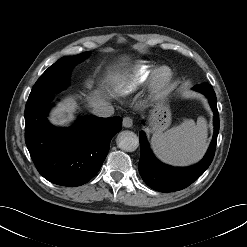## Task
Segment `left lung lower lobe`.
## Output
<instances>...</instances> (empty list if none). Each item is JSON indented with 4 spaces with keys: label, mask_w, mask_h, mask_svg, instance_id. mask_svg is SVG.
Wrapping results in <instances>:
<instances>
[{
    "label": "left lung lower lobe",
    "mask_w": 247,
    "mask_h": 247,
    "mask_svg": "<svg viewBox=\"0 0 247 247\" xmlns=\"http://www.w3.org/2000/svg\"><path fill=\"white\" fill-rule=\"evenodd\" d=\"M193 89L201 92L208 98L214 112L213 139L207 153L199 163L188 168H174L160 163L153 157L144 132H140L139 173L144 182L154 190L160 192H173L186 188L205 172L213 160L219 132V115L216 95L212 86L208 83L196 85Z\"/></svg>",
    "instance_id": "0a47b994"
}]
</instances>
